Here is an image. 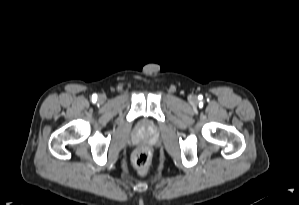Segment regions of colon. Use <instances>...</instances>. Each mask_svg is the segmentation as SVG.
Segmentation results:
<instances>
[{"mask_svg": "<svg viewBox=\"0 0 299 205\" xmlns=\"http://www.w3.org/2000/svg\"><path fill=\"white\" fill-rule=\"evenodd\" d=\"M132 164L137 171V173L141 176H144L147 174L151 156L147 149H137L132 154Z\"/></svg>", "mask_w": 299, "mask_h": 205, "instance_id": "colon-1", "label": "colon"}]
</instances>
